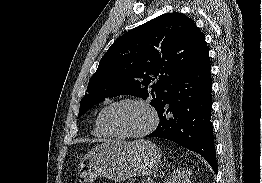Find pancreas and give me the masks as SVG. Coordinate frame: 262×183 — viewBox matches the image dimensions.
Returning <instances> with one entry per match:
<instances>
[{"label":"pancreas","mask_w":262,"mask_h":183,"mask_svg":"<svg viewBox=\"0 0 262 183\" xmlns=\"http://www.w3.org/2000/svg\"><path fill=\"white\" fill-rule=\"evenodd\" d=\"M142 183H150V181L142 182Z\"/></svg>","instance_id":"1"}]
</instances>
